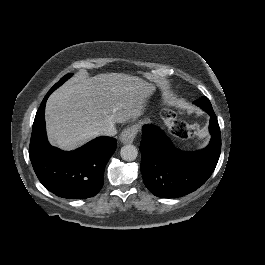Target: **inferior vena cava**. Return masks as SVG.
Segmentation results:
<instances>
[{"label": "inferior vena cava", "instance_id": "602c4592", "mask_svg": "<svg viewBox=\"0 0 265 265\" xmlns=\"http://www.w3.org/2000/svg\"><path fill=\"white\" fill-rule=\"evenodd\" d=\"M115 134H116V130H115L113 124H108V125L103 129V135H105V136H114Z\"/></svg>", "mask_w": 265, "mask_h": 265}]
</instances>
